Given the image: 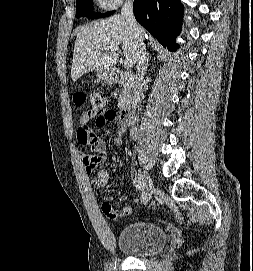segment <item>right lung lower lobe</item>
<instances>
[{
	"label": "right lung lower lobe",
	"mask_w": 253,
	"mask_h": 271,
	"mask_svg": "<svg viewBox=\"0 0 253 271\" xmlns=\"http://www.w3.org/2000/svg\"><path fill=\"white\" fill-rule=\"evenodd\" d=\"M183 5L180 0H135L136 20L164 47L176 51V37L181 30Z\"/></svg>",
	"instance_id": "1"
}]
</instances>
